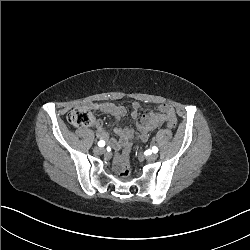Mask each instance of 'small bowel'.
<instances>
[{
    "mask_svg": "<svg viewBox=\"0 0 250 250\" xmlns=\"http://www.w3.org/2000/svg\"><path fill=\"white\" fill-rule=\"evenodd\" d=\"M81 108L95 110L109 114L114 117L116 122L115 133L117 139H111L107 129L103 126L100 120L94 121L97 137L104 141H109L114 148L121 149L128 140L140 139L147 140L149 133L154 129L162 126L165 119H176L174 109L167 103L160 104L155 110H151L147 114H140V106L138 103L132 105L131 116L137 121V132L131 129L120 126L123 120L126 109L121 105H116L109 102H85L80 105Z\"/></svg>",
    "mask_w": 250,
    "mask_h": 250,
    "instance_id": "obj_1",
    "label": "small bowel"
}]
</instances>
